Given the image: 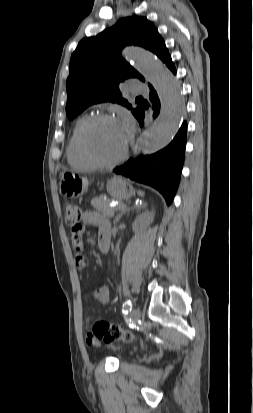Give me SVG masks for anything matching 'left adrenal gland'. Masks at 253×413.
<instances>
[{"instance_id": "left-adrenal-gland-1", "label": "left adrenal gland", "mask_w": 253, "mask_h": 413, "mask_svg": "<svg viewBox=\"0 0 253 413\" xmlns=\"http://www.w3.org/2000/svg\"><path fill=\"white\" fill-rule=\"evenodd\" d=\"M129 211H130V209H124V210H122L121 213L115 218L114 224H116L117 222H119L120 219H121V217H122L126 212H129Z\"/></svg>"}]
</instances>
